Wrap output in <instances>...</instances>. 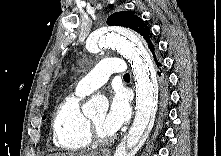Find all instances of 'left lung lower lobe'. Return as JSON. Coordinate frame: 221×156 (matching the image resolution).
I'll return each mask as SVG.
<instances>
[{
  "label": "left lung lower lobe",
  "instance_id": "0a47b994",
  "mask_svg": "<svg viewBox=\"0 0 221 156\" xmlns=\"http://www.w3.org/2000/svg\"><path fill=\"white\" fill-rule=\"evenodd\" d=\"M156 66L159 68L158 71V94L159 99L161 101V110L162 113L165 114L166 112V105H167V99H168V87H167V76L165 71L162 68V60L159 58L155 61Z\"/></svg>",
  "mask_w": 221,
  "mask_h": 156
}]
</instances>
